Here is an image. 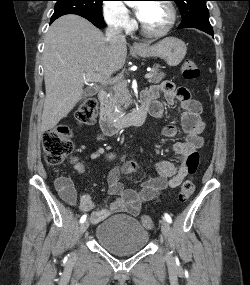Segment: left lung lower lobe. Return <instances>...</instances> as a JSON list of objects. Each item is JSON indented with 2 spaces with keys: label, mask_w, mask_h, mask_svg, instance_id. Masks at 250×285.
<instances>
[{
  "label": "left lung lower lobe",
  "mask_w": 250,
  "mask_h": 285,
  "mask_svg": "<svg viewBox=\"0 0 250 285\" xmlns=\"http://www.w3.org/2000/svg\"><path fill=\"white\" fill-rule=\"evenodd\" d=\"M197 29H199V28H197ZM199 30H202V31L208 33L209 35L213 36V29H204V28H201V29H199Z\"/></svg>",
  "instance_id": "0a47b994"
}]
</instances>
